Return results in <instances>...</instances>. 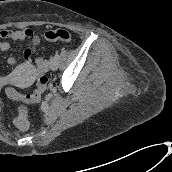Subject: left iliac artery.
I'll list each match as a JSON object with an SVG mask.
<instances>
[{
	"mask_svg": "<svg viewBox=\"0 0 172 172\" xmlns=\"http://www.w3.org/2000/svg\"><path fill=\"white\" fill-rule=\"evenodd\" d=\"M54 57H55L56 59H58V58H59V55H58V54H56Z\"/></svg>",
	"mask_w": 172,
	"mask_h": 172,
	"instance_id": "left-iliac-artery-1",
	"label": "left iliac artery"
}]
</instances>
